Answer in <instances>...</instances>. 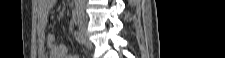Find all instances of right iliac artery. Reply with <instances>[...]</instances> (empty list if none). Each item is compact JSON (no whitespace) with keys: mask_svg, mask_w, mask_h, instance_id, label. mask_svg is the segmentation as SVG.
Masks as SVG:
<instances>
[{"mask_svg":"<svg viewBox=\"0 0 225 58\" xmlns=\"http://www.w3.org/2000/svg\"><path fill=\"white\" fill-rule=\"evenodd\" d=\"M74 37H75V39L77 40L78 43L84 44L83 38H82L79 31L74 32Z\"/></svg>","mask_w":225,"mask_h":58,"instance_id":"82829eb1","label":"right iliac artery"}]
</instances>
